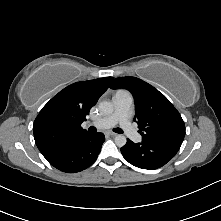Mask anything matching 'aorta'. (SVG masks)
Segmentation results:
<instances>
[{"label": "aorta", "mask_w": 221, "mask_h": 221, "mask_svg": "<svg viewBox=\"0 0 221 221\" xmlns=\"http://www.w3.org/2000/svg\"><path fill=\"white\" fill-rule=\"evenodd\" d=\"M114 106L110 101H102L99 103V111L104 115L112 114ZM127 142V139L124 135L119 134L115 137V144L118 147H123Z\"/></svg>", "instance_id": "1"}]
</instances>
